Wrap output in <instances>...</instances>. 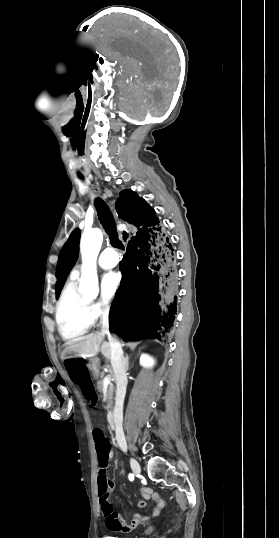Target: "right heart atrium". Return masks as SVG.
I'll list each match as a JSON object with an SVG mask.
<instances>
[{
    "label": "right heart atrium",
    "instance_id": "right-heart-atrium-1",
    "mask_svg": "<svg viewBox=\"0 0 279 538\" xmlns=\"http://www.w3.org/2000/svg\"><path fill=\"white\" fill-rule=\"evenodd\" d=\"M93 314L95 319H107L113 312V306L109 300L100 299L93 303Z\"/></svg>",
    "mask_w": 279,
    "mask_h": 538
}]
</instances>
